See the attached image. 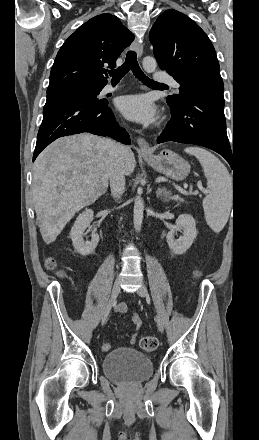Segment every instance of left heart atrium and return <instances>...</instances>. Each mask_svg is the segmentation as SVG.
Returning <instances> with one entry per match:
<instances>
[{
    "instance_id": "1",
    "label": "left heart atrium",
    "mask_w": 259,
    "mask_h": 440,
    "mask_svg": "<svg viewBox=\"0 0 259 440\" xmlns=\"http://www.w3.org/2000/svg\"><path fill=\"white\" fill-rule=\"evenodd\" d=\"M117 106L126 117L136 122L152 123L157 118L156 106L146 94L123 96Z\"/></svg>"
}]
</instances>
